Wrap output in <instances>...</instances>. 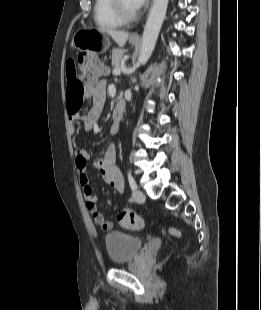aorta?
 Instances as JSON below:
<instances>
[{
	"instance_id": "obj_1",
	"label": "aorta",
	"mask_w": 261,
	"mask_h": 310,
	"mask_svg": "<svg viewBox=\"0 0 261 310\" xmlns=\"http://www.w3.org/2000/svg\"><path fill=\"white\" fill-rule=\"evenodd\" d=\"M169 0H154L144 27L138 61L145 65L152 55L157 38L166 16Z\"/></svg>"
}]
</instances>
